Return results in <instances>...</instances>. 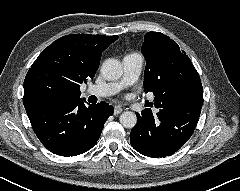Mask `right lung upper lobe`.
Listing matches in <instances>:
<instances>
[{
  "label": "right lung upper lobe",
  "mask_w": 240,
  "mask_h": 191,
  "mask_svg": "<svg viewBox=\"0 0 240 191\" xmlns=\"http://www.w3.org/2000/svg\"><path fill=\"white\" fill-rule=\"evenodd\" d=\"M118 36L74 34L45 48L24 80V107L60 99H80V85L93 78L102 52Z\"/></svg>",
  "instance_id": "obj_1"
}]
</instances>
